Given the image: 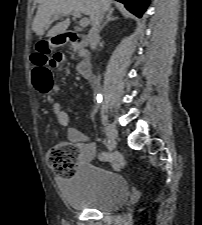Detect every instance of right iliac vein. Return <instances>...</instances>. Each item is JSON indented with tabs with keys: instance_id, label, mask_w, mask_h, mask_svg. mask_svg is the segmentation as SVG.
<instances>
[{
	"instance_id": "1",
	"label": "right iliac vein",
	"mask_w": 202,
	"mask_h": 225,
	"mask_svg": "<svg viewBox=\"0 0 202 225\" xmlns=\"http://www.w3.org/2000/svg\"><path fill=\"white\" fill-rule=\"evenodd\" d=\"M107 138L115 146L116 140L118 139V131L114 125L106 123L104 127Z\"/></svg>"
}]
</instances>
